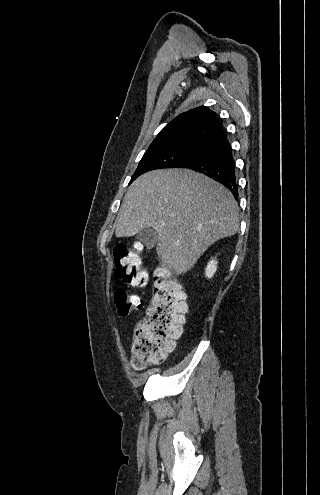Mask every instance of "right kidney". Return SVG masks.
I'll use <instances>...</instances> for the list:
<instances>
[{
	"mask_svg": "<svg viewBox=\"0 0 320 495\" xmlns=\"http://www.w3.org/2000/svg\"><path fill=\"white\" fill-rule=\"evenodd\" d=\"M217 260L216 259H211L208 264H207V267L205 269V276L207 278H212L213 275L215 274L216 272V269H217Z\"/></svg>",
	"mask_w": 320,
	"mask_h": 495,
	"instance_id": "ca27d5eb",
	"label": "right kidney"
}]
</instances>
